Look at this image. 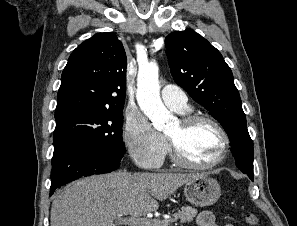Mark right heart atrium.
Wrapping results in <instances>:
<instances>
[{
  "mask_svg": "<svg viewBox=\"0 0 297 226\" xmlns=\"http://www.w3.org/2000/svg\"><path fill=\"white\" fill-rule=\"evenodd\" d=\"M123 140L132 160L145 169L158 167L168 150L164 136L152 127L140 111L127 115Z\"/></svg>",
  "mask_w": 297,
  "mask_h": 226,
  "instance_id": "d8ad5b80",
  "label": "right heart atrium"
}]
</instances>
